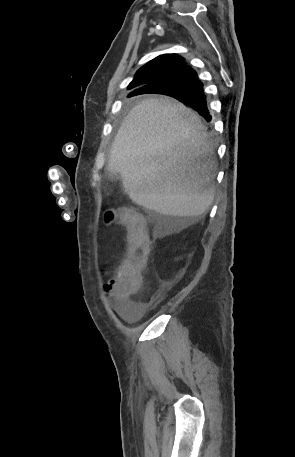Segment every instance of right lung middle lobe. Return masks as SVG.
<instances>
[{
    "mask_svg": "<svg viewBox=\"0 0 295 457\" xmlns=\"http://www.w3.org/2000/svg\"><path fill=\"white\" fill-rule=\"evenodd\" d=\"M155 93H160V94H165V95L172 96L174 94V90L168 89V90H163V91H155Z\"/></svg>",
    "mask_w": 295,
    "mask_h": 457,
    "instance_id": "right-lung-middle-lobe-1",
    "label": "right lung middle lobe"
}]
</instances>
